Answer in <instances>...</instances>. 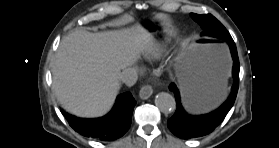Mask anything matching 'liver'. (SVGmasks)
I'll use <instances>...</instances> for the list:
<instances>
[{
  "instance_id": "obj_1",
  "label": "liver",
  "mask_w": 279,
  "mask_h": 148,
  "mask_svg": "<svg viewBox=\"0 0 279 148\" xmlns=\"http://www.w3.org/2000/svg\"><path fill=\"white\" fill-rule=\"evenodd\" d=\"M151 34L140 27L65 36L52 63L53 89L60 104L80 117H98L112 107L118 75L148 49Z\"/></svg>"
}]
</instances>
